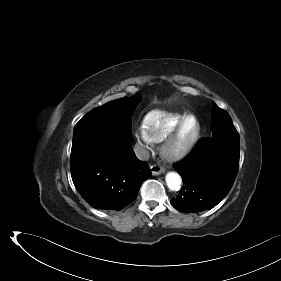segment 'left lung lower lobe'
<instances>
[{
    "instance_id": "obj_1",
    "label": "left lung lower lobe",
    "mask_w": 281,
    "mask_h": 281,
    "mask_svg": "<svg viewBox=\"0 0 281 281\" xmlns=\"http://www.w3.org/2000/svg\"><path fill=\"white\" fill-rule=\"evenodd\" d=\"M239 135L228 139L203 138L189 157L174 165L183 187L171 204L180 212L211 209L230 191L239 168Z\"/></svg>"
}]
</instances>
